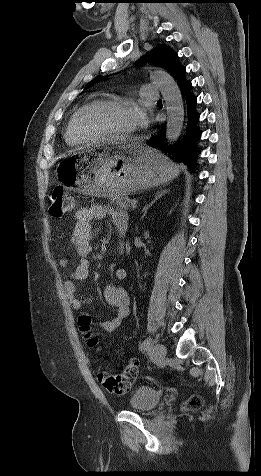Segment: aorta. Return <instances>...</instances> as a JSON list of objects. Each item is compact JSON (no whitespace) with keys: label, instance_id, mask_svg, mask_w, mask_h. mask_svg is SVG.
<instances>
[{"label":"aorta","instance_id":"1","mask_svg":"<svg viewBox=\"0 0 261 476\" xmlns=\"http://www.w3.org/2000/svg\"><path fill=\"white\" fill-rule=\"evenodd\" d=\"M151 79L165 100L167 109L166 139L170 144H173L181 134L184 121V107L180 89L172 76L164 71H155Z\"/></svg>","mask_w":261,"mask_h":476}]
</instances>
